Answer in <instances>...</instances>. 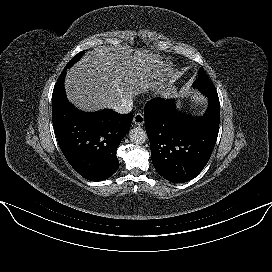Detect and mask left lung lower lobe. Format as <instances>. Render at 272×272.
Segmentation results:
<instances>
[{
  "label": "left lung lower lobe",
  "mask_w": 272,
  "mask_h": 272,
  "mask_svg": "<svg viewBox=\"0 0 272 272\" xmlns=\"http://www.w3.org/2000/svg\"><path fill=\"white\" fill-rule=\"evenodd\" d=\"M209 105L201 117L179 112L175 100L150 101L144 109L151 159L160 176L174 183L195 178L207 164L218 136L220 103L215 87L200 90Z\"/></svg>",
  "instance_id": "0a47b994"
}]
</instances>
